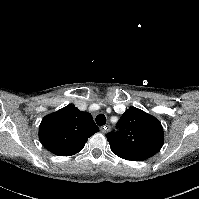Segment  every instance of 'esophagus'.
Here are the masks:
<instances>
[{"mask_svg": "<svg viewBox=\"0 0 199 199\" xmlns=\"http://www.w3.org/2000/svg\"><path fill=\"white\" fill-rule=\"evenodd\" d=\"M100 131H101L102 133H108V132L110 131V126H109V125L102 126V127L100 128Z\"/></svg>", "mask_w": 199, "mask_h": 199, "instance_id": "obj_1", "label": "esophagus"}]
</instances>
